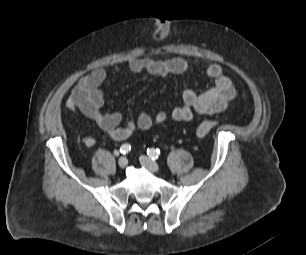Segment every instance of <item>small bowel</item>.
<instances>
[{
    "label": "small bowel",
    "mask_w": 306,
    "mask_h": 255,
    "mask_svg": "<svg viewBox=\"0 0 306 255\" xmlns=\"http://www.w3.org/2000/svg\"><path fill=\"white\" fill-rule=\"evenodd\" d=\"M128 68L133 73L145 72L152 76L166 78L169 75L185 73L189 64L182 58L156 60L144 57L131 59L128 62ZM206 74L213 79L214 85L201 93L190 87L186 88L182 94L183 104L175 107L171 112L174 120L187 122L194 118L195 113L222 112L235 98L236 90L233 82L224 74L220 64L209 65ZM105 78L106 70L102 67L82 76L67 99V109L71 113L79 111L93 126L115 141L126 140L136 130H148L153 125L162 124L167 120L168 115L165 111H159L155 115L141 111L135 117L130 118L124 126H120L123 120L122 113L106 112L103 108L104 97L100 86ZM83 142L87 147H91L96 143V137L87 136Z\"/></svg>",
    "instance_id": "small-bowel-1"
}]
</instances>
